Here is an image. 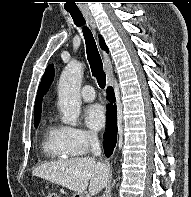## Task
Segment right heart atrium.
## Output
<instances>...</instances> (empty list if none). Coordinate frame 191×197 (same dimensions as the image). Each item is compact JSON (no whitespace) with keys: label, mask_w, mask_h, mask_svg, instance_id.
<instances>
[{"label":"right heart atrium","mask_w":191,"mask_h":197,"mask_svg":"<svg viewBox=\"0 0 191 197\" xmlns=\"http://www.w3.org/2000/svg\"><path fill=\"white\" fill-rule=\"evenodd\" d=\"M62 142L70 155H82L97 142L95 134L72 126L62 127Z\"/></svg>","instance_id":"1"}]
</instances>
